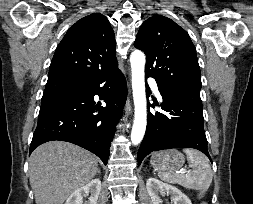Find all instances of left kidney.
<instances>
[{
    "label": "left kidney",
    "instance_id": "left-kidney-1",
    "mask_svg": "<svg viewBox=\"0 0 253 204\" xmlns=\"http://www.w3.org/2000/svg\"><path fill=\"white\" fill-rule=\"evenodd\" d=\"M146 187L153 204L162 203V199L159 196L160 194L171 196V201L174 204H192L190 199L179 189L163 183L156 178H149L146 181Z\"/></svg>",
    "mask_w": 253,
    "mask_h": 204
}]
</instances>
